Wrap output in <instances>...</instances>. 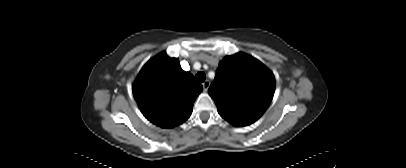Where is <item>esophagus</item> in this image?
I'll return each instance as SVG.
<instances>
[{
	"label": "esophagus",
	"mask_w": 406,
	"mask_h": 168,
	"mask_svg": "<svg viewBox=\"0 0 406 168\" xmlns=\"http://www.w3.org/2000/svg\"><path fill=\"white\" fill-rule=\"evenodd\" d=\"M203 89H204V91H207L208 90V88H209V86H210V82L207 80V81H205V82H203Z\"/></svg>",
	"instance_id": "esophagus-1"
}]
</instances>
